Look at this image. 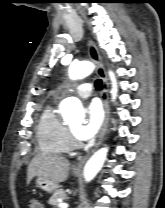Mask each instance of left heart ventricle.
<instances>
[{
  "label": "left heart ventricle",
  "mask_w": 165,
  "mask_h": 208,
  "mask_svg": "<svg viewBox=\"0 0 165 208\" xmlns=\"http://www.w3.org/2000/svg\"><path fill=\"white\" fill-rule=\"evenodd\" d=\"M78 126H79V122L76 121V122H73L69 125V128L74 132L76 133L77 129H78Z\"/></svg>",
  "instance_id": "left-heart-ventricle-1"
}]
</instances>
